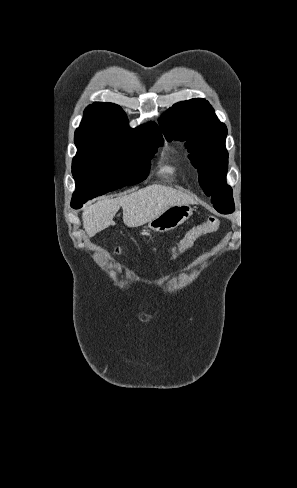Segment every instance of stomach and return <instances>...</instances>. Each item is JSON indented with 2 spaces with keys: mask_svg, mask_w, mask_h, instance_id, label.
I'll use <instances>...</instances> for the list:
<instances>
[{
  "mask_svg": "<svg viewBox=\"0 0 297 488\" xmlns=\"http://www.w3.org/2000/svg\"><path fill=\"white\" fill-rule=\"evenodd\" d=\"M192 214L189 204H176L149 221L147 228L154 232H168L183 224Z\"/></svg>",
  "mask_w": 297,
  "mask_h": 488,
  "instance_id": "obj_1",
  "label": "stomach"
}]
</instances>
